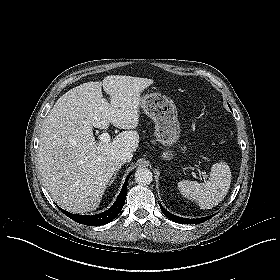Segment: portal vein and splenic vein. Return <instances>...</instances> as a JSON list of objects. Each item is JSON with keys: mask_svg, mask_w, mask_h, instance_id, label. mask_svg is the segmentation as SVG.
<instances>
[{"mask_svg": "<svg viewBox=\"0 0 280 280\" xmlns=\"http://www.w3.org/2000/svg\"><path fill=\"white\" fill-rule=\"evenodd\" d=\"M99 140L103 143H108L111 140L110 134L108 132H104L99 136ZM193 177L196 178V174L192 173Z\"/></svg>", "mask_w": 280, "mask_h": 280, "instance_id": "obj_1", "label": "portal vein and splenic vein"}]
</instances>
